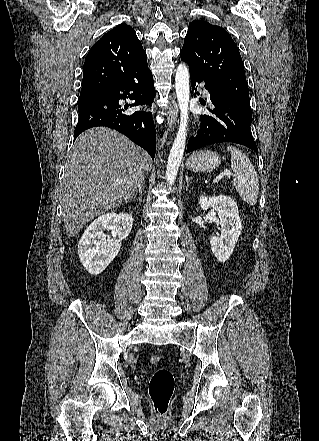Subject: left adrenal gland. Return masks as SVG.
Masks as SVG:
<instances>
[{"mask_svg":"<svg viewBox=\"0 0 319 441\" xmlns=\"http://www.w3.org/2000/svg\"><path fill=\"white\" fill-rule=\"evenodd\" d=\"M190 180H192V178L186 176V183H187L186 190H187V191H188V189H189V181H190Z\"/></svg>","mask_w":319,"mask_h":441,"instance_id":"left-adrenal-gland-1","label":"left adrenal gland"}]
</instances>
